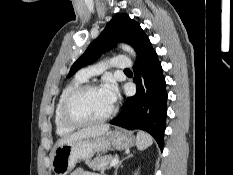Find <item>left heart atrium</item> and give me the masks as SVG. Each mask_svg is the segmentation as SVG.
Listing matches in <instances>:
<instances>
[{
    "label": "left heart atrium",
    "instance_id": "1",
    "mask_svg": "<svg viewBox=\"0 0 233 175\" xmlns=\"http://www.w3.org/2000/svg\"><path fill=\"white\" fill-rule=\"evenodd\" d=\"M103 92L106 94L112 104L115 103L118 97V88L114 81L108 80L102 87Z\"/></svg>",
    "mask_w": 233,
    "mask_h": 175
}]
</instances>
